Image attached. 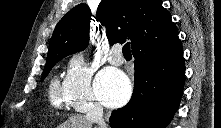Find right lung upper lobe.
I'll use <instances>...</instances> for the list:
<instances>
[{
    "label": "right lung upper lobe",
    "mask_w": 221,
    "mask_h": 128,
    "mask_svg": "<svg viewBox=\"0 0 221 128\" xmlns=\"http://www.w3.org/2000/svg\"><path fill=\"white\" fill-rule=\"evenodd\" d=\"M92 17L106 26L110 43L128 38L132 51L163 47L178 35L162 0H102L96 16L86 4H79L56 25L46 63L84 50L89 43L90 20L95 21Z\"/></svg>",
    "instance_id": "cb5924a9"
}]
</instances>
